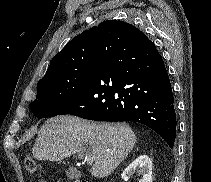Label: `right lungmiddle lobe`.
<instances>
[{"label": "right lung middle lobe", "mask_w": 211, "mask_h": 182, "mask_svg": "<svg viewBox=\"0 0 211 182\" xmlns=\"http://www.w3.org/2000/svg\"><path fill=\"white\" fill-rule=\"evenodd\" d=\"M91 67L92 63L40 80L37 84L36 99L30 104L32 113L37 118L58 115L84 88Z\"/></svg>", "instance_id": "obj_1"}]
</instances>
